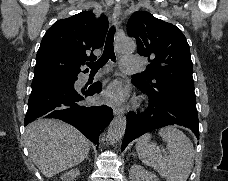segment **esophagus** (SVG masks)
<instances>
[{
    "label": "esophagus",
    "mask_w": 228,
    "mask_h": 181,
    "mask_svg": "<svg viewBox=\"0 0 228 181\" xmlns=\"http://www.w3.org/2000/svg\"><path fill=\"white\" fill-rule=\"evenodd\" d=\"M121 13V4L120 3H116L114 10H113V22L117 23V21L119 20V16ZM121 32V30L119 29L117 33ZM113 113L115 116L117 115H122L124 113V108H114L113 109Z\"/></svg>",
    "instance_id": "obj_1"
}]
</instances>
